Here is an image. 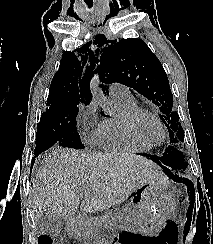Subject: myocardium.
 Listing matches in <instances>:
<instances>
[{"instance_id": "f54148a6", "label": "myocardium", "mask_w": 213, "mask_h": 244, "mask_svg": "<svg viewBox=\"0 0 213 244\" xmlns=\"http://www.w3.org/2000/svg\"><path fill=\"white\" fill-rule=\"evenodd\" d=\"M144 116L151 117L159 124L160 128L162 129V133H163V136H162V139L160 142H158L156 144L148 143L138 133L137 124H138L139 120ZM123 125H124V129H125L127 135L129 136V138L131 140H133L134 142L146 147L147 149H153V148L160 146L161 144L164 143V141L167 138V129H166L163 121L160 119V117L156 113L143 109V108H138L136 110L126 113L123 117Z\"/></svg>"}]
</instances>
